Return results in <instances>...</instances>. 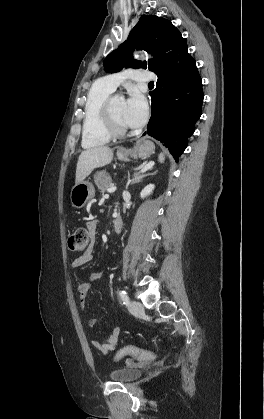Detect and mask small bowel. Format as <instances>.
<instances>
[{"label": "small bowel", "instance_id": "c3829d8e", "mask_svg": "<svg viewBox=\"0 0 264 419\" xmlns=\"http://www.w3.org/2000/svg\"><path fill=\"white\" fill-rule=\"evenodd\" d=\"M86 227L89 234L91 236H94L96 232V228H97V221L96 220L88 221L86 223ZM92 257H93V247L90 246L86 250V252H84L81 256L77 257L73 261L72 265L75 268L82 267L88 262H90L92 260ZM101 277H102V273L97 272V273L92 274L88 278V280L82 281L78 284L77 290L79 293L82 308L85 307L86 300L92 291L94 282ZM96 324H97L96 318H90L88 320L89 328H94ZM120 335H121V329L116 327V328L111 329L109 333L107 334V336H105L102 340L93 339L91 343H92V346L96 350L101 352L103 355H108L109 353L113 352L117 348Z\"/></svg>", "mask_w": 264, "mask_h": 419}]
</instances>
